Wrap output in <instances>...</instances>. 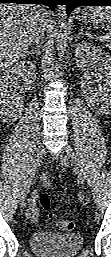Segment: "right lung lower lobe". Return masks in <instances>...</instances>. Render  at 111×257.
I'll return each mask as SVG.
<instances>
[{
    "mask_svg": "<svg viewBox=\"0 0 111 257\" xmlns=\"http://www.w3.org/2000/svg\"><path fill=\"white\" fill-rule=\"evenodd\" d=\"M0 3L43 4L52 10L55 9L54 0H0Z\"/></svg>",
    "mask_w": 111,
    "mask_h": 257,
    "instance_id": "98d812e1",
    "label": "right lung lower lobe"
}]
</instances>
